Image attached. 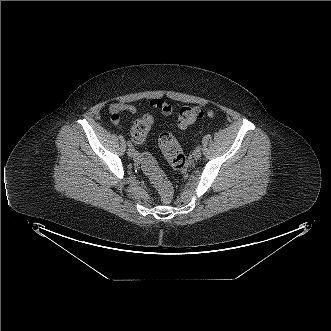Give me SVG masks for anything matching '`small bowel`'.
Here are the masks:
<instances>
[{
	"label": "small bowel",
	"mask_w": 331,
	"mask_h": 331,
	"mask_svg": "<svg viewBox=\"0 0 331 331\" xmlns=\"http://www.w3.org/2000/svg\"><path fill=\"white\" fill-rule=\"evenodd\" d=\"M149 105L151 108L159 110L163 115L170 116L173 113V107L167 101L154 98L149 101ZM124 112L135 114L137 112V108L125 102H115L110 104L109 106V115L110 120L114 125H120V115Z\"/></svg>",
	"instance_id": "1"
}]
</instances>
